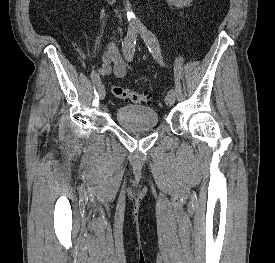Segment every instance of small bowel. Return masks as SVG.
I'll list each match as a JSON object with an SVG mask.
<instances>
[{
	"mask_svg": "<svg viewBox=\"0 0 275 263\" xmlns=\"http://www.w3.org/2000/svg\"><path fill=\"white\" fill-rule=\"evenodd\" d=\"M131 67L122 56L117 44L109 42L106 52L102 57V64L97 68V73L101 76L114 75L117 78L125 77Z\"/></svg>",
	"mask_w": 275,
	"mask_h": 263,
	"instance_id": "c3829d8e",
	"label": "small bowel"
}]
</instances>
